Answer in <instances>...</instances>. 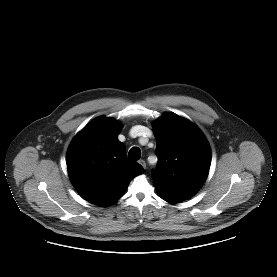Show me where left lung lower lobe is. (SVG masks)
I'll use <instances>...</instances> for the list:
<instances>
[{
    "instance_id": "1",
    "label": "left lung lower lobe",
    "mask_w": 277,
    "mask_h": 277,
    "mask_svg": "<svg viewBox=\"0 0 277 277\" xmlns=\"http://www.w3.org/2000/svg\"><path fill=\"white\" fill-rule=\"evenodd\" d=\"M157 192L162 199H164L165 201L170 202V203H179L186 199L184 197L172 195V194L160 191V190H157Z\"/></svg>"
}]
</instances>
